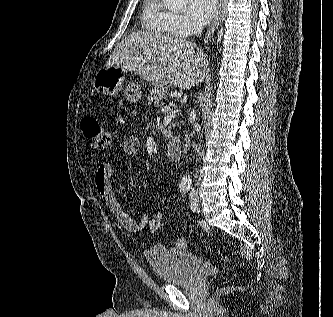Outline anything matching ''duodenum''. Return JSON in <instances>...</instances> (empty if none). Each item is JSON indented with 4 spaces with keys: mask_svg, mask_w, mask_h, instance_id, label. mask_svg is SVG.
<instances>
[{
    "mask_svg": "<svg viewBox=\"0 0 333 317\" xmlns=\"http://www.w3.org/2000/svg\"><path fill=\"white\" fill-rule=\"evenodd\" d=\"M167 158L172 162H177L181 159L182 144L181 140L177 137L172 138L166 147Z\"/></svg>",
    "mask_w": 333,
    "mask_h": 317,
    "instance_id": "obj_1",
    "label": "duodenum"
}]
</instances>
